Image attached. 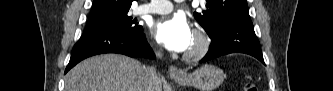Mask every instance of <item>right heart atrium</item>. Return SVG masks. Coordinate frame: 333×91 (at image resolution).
<instances>
[{
    "label": "right heart atrium",
    "mask_w": 333,
    "mask_h": 91,
    "mask_svg": "<svg viewBox=\"0 0 333 91\" xmlns=\"http://www.w3.org/2000/svg\"><path fill=\"white\" fill-rule=\"evenodd\" d=\"M155 52H156L157 54H160V49H159V48H156V49H155Z\"/></svg>",
    "instance_id": "obj_1"
}]
</instances>
